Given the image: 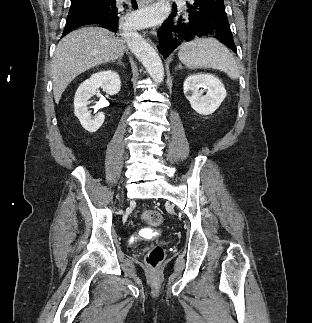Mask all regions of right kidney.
<instances>
[{"instance_id": "1", "label": "right kidney", "mask_w": 312, "mask_h": 323, "mask_svg": "<svg viewBox=\"0 0 312 323\" xmlns=\"http://www.w3.org/2000/svg\"><path fill=\"white\" fill-rule=\"evenodd\" d=\"M103 88L106 94L115 96L120 92L121 82L118 74L107 70V72H97L92 74L89 80H85L80 84L75 96H74V114L80 120V124L87 132H97L100 126H102L105 116L103 112H98L95 116H92V112H89L88 104L92 96H95L96 90Z\"/></svg>"}]
</instances>
